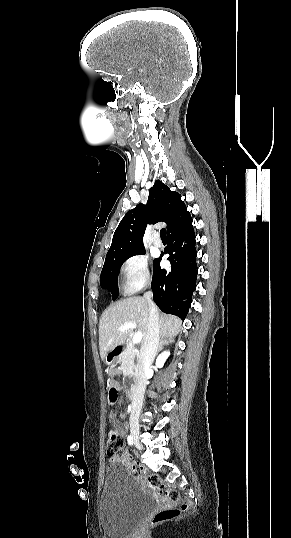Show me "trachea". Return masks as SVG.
Instances as JSON below:
<instances>
[{
	"instance_id": "3493384b",
	"label": "trachea",
	"mask_w": 291,
	"mask_h": 538,
	"mask_svg": "<svg viewBox=\"0 0 291 538\" xmlns=\"http://www.w3.org/2000/svg\"><path fill=\"white\" fill-rule=\"evenodd\" d=\"M160 237L161 239H166V230L163 228L160 230Z\"/></svg>"
}]
</instances>
